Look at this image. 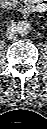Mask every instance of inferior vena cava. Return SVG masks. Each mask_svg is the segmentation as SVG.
<instances>
[{
    "mask_svg": "<svg viewBox=\"0 0 47 129\" xmlns=\"http://www.w3.org/2000/svg\"><path fill=\"white\" fill-rule=\"evenodd\" d=\"M16 32H17V31H16L13 27H11V28H8V30H7V32H6V35H7V37H8L9 39H12V38L15 37Z\"/></svg>",
    "mask_w": 47,
    "mask_h": 129,
    "instance_id": "602c4592",
    "label": "inferior vena cava"
}]
</instances>
